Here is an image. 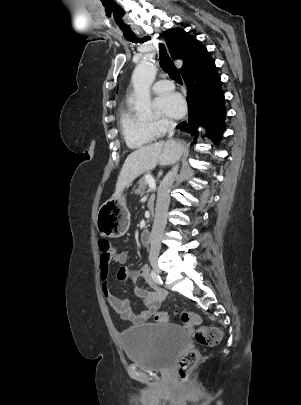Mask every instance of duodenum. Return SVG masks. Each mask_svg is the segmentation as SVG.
I'll return each mask as SVG.
<instances>
[{"label": "duodenum", "mask_w": 301, "mask_h": 405, "mask_svg": "<svg viewBox=\"0 0 301 405\" xmlns=\"http://www.w3.org/2000/svg\"><path fill=\"white\" fill-rule=\"evenodd\" d=\"M141 242L144 246H149L151 243V234L148 230H144L140 236Z\"/></svg>", "instance_id": "obj_1"}]
</instances>
